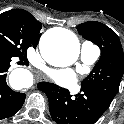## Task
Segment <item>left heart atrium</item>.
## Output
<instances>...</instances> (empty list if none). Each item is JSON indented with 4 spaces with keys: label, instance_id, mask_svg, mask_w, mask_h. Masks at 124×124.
<instances>
[{
    "label": "left heart atrium",
    "instance_id": "obj_1",
    "mask_svg": "<svg viewBox=\"0 0 124 124\" xmlns=\"http://www.w3.org/2000/svg\"><path fill=\"white\" fill-rule=\"evenodd\" d=\"M49 76L52 81L62 87H70L77 81L76 74L69 69L52 70Z\"/></svg>",
    "mask_w": 124,
    "mask_h": 124
}]
</instances>
